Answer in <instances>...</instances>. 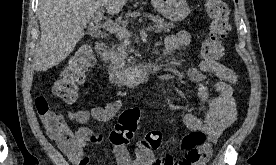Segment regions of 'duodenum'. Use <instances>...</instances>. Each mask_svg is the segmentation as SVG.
Segmentation results:
<instances>
[{"instance_id":"1","label":"duodenum","mask_w":276,"mask_h":165,"mask_svg":"<svg viewBox=\"0 0 276 165\" xmlns=\"http://www.w3.org/2000/svg\"><path fill=\"white\" fill-rule=\"evenodd\" d=\"M97 54L104 58L107 53V45L103 41H99L95 45ZM160 64L158 61L149 63L145 66L136 67L131 70H118L109 67V75L111 81L117 86H123L135 81L148 80L155 76L159 70Z\"/></svg>"}]
</instances>
